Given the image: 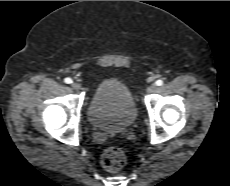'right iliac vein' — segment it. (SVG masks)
I'll use <instances>...</instances> for the list:
<instances>
[{
    "mask_svg": "<svg viewBox=\"0 0 230 186\" xmlns=\"http://www.w3.org/2000/svg\"><path fill=\"white\" fill-rule=\"evenodd\" d=\"M72 87L75 90H80L81 89V85L79 83H77V82H73Z\"/></svg>",
    "mask_w": 230,
    "mask_h": 186,
    "instance_id": "1",
    "label": "right iliac vein"
}]
</instances>
